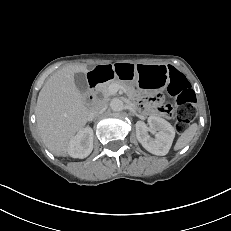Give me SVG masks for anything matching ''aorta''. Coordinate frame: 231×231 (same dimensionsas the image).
Here are the masks:
<instances>
[{
    "instance_id": "762f6f07",
    "label": "aorta",
    "mask_w": 231,
    "mask_h": 231,
    "mask_svg": "<svg viewBox=\"0 0 231 231\" xmlns=\"http://www.w3.org/2000/svg\"><path fill=\"white\" fill-rule=\"evenodd\" d=\"M110 108L116 112L122 111L124 109V103L119 98H113L110 102Z\"/></svg>"
}]
</instances>
